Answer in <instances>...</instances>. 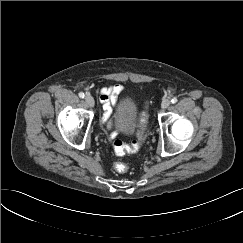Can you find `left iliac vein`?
Masks as SVG:
<instances>
[{
	"mask_svg": "<svg viewBox=\"0 0 243 243\" xmlns=\"http://www.w3.org/2000/svg\"><path fill=\"white\" fill-rule=\"evenodd\" d=\"M170 105V100L169 99H164L161 103V107L163 109L167 108Z\"/></svg>",
	"mask_w": 243,
	"mask_h": 243,
	"instance_id": "1",
	"label": "left iliac vein"
}]
</instances>
